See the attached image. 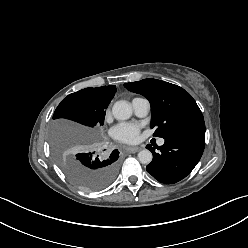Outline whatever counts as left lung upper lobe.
<instances>
[{
    "label": "left lung upper lobe",
    "mask_w": 248,
    "mask_h": 248,
    "mask_svg": "<svg viewBox=\"0 0 248 248\" xmlns=\"http://www.w3.org/2000/svg\"><path fill=\"white\" fill-rule=\"evenodd\" d=\"M124 86L149 100L152 114L150 127L156 129L154 136L166 139L185 126L204 121L195 100L177 85L157 79H143Z\"/></svg>",
    "instance_id": "obj_1"
}]
</instances>
